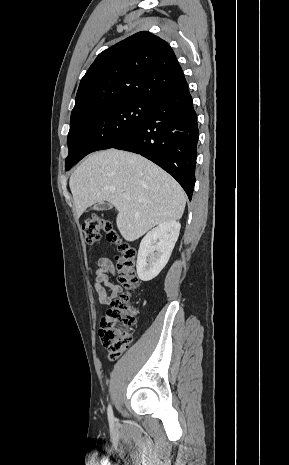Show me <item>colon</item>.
Segmentation results:
<instances>
[{
	"mask_svg": "<svg viewBox=\"0 0 289 465\" xmlns=\"http://www.w3.org/2000/svg\"><path fill=\"white\" fill-rule=\"evenodd\" d=\"M105 232L107 239L118 245V278L127 292L120 294L101 316L99 336L112 360L117 359L132 340V328L136 323L137 310L131 301L130 291L138 286L136 275V250L124 242L113 229L111 222L93 215L82 224V239L86 246L97 243Z\"/></svg>",
	"mask_w": 289,
	"mask_h": 465,
	"instance_id": "colon-1",
	"label": "colon"
}]
</instances>
